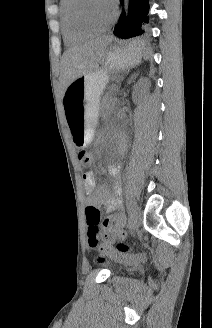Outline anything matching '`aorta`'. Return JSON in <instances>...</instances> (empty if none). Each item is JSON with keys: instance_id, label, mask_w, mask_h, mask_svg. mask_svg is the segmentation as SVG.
I'll return each instance as SVG.
<instances>
[{"instance_id": "aorta-1", "label": "aorta", "mask_w": 212, "mask_h": 328, "mask_svg": "<svg viewBox=\"0 0 212 328\" xmlns=\"http://www.w3.org/2000/svg\"><path fill=\"white\" fill-rule=\"evenodd\" d=\"M128 3H129V0H124V8H125L126 13L128 11Z\"/></svg>"}]
</instances>
